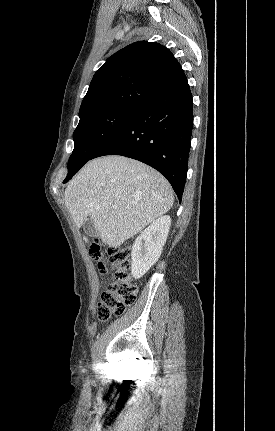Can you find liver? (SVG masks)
Masks as SVG:
<instances>
[{"mask_svg":"<svg viewBox=\"0 0 275 431\" xmlns=\"http://www.w3.org/2000/svg\"><path fill=\"white\" fill-rule=\"evenodd\" d=\"M173 202L172 188L159 172L119 155L89 161L65 189L76 227L90 217L101 240L112 248L168 212Z\"/></svg>","mask_w":275,"mask_h":431,"instance_id":"6515ba94","label":"liver"}]
</instances>
